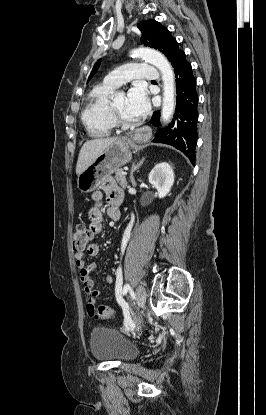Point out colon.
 Wrapping results in <instances>:
<instances>
[{
	"label": "colon",
	"instance_id": "colon-1",
	"mask_svg": "<svg viewBox=\"0 0 266 415\" xmlns=\"http://www.w3.org/2000/svg\"><path fill=\"white\" fill-rule=\"evenodd\" d=\"M92 236L93 232L89 227L78 225L73 234V249L75 251L84 250L90 244ZM90 315L99 320H107L112 317L113 310L106 305H100L95 307Z\"/></svg>",
	"mask_w": 266,
	"mask_h": 415
}]
</instances>
